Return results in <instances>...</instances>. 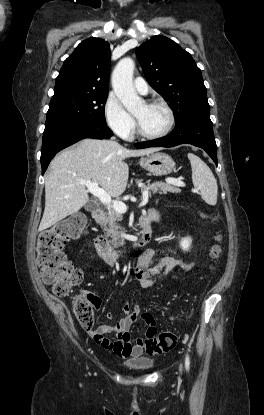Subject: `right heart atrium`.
Instances as JSON below:
<instances>
[{
	"instance_id": "d8ad5b80",
	"label": "right heart atrium",
	"mask_w": 264,
	"mask_h": 415,
	"mask_svg": "<svg viewBox=\"0 0 264 415\" xmlns=\"http://www.w3.org/2000/svg\"><path fill=\"white\" fill-rule=\"evenodd\" d=\"M104 114L108 126L114 133L125 139L132 137L135 129L134 119L123 108L116 96L111 94L107 97Z\"/></svg>"
}]
</instances>
